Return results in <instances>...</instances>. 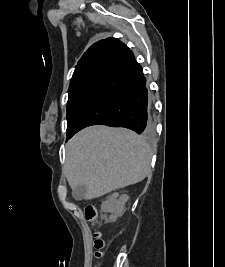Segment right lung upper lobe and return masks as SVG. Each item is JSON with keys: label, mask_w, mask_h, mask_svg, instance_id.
Wrapping results in <instances>:
<instances>
[{"label": "right lung upper lobe", "mask_w": 225, "mask_h": 267, "mask_svg": "<svg viewBox=\"0 0 225 267\" xmlns=\"http://www.w3.org/2000/svg\"><path fill=\"white\" fill-rule=\"evenodd\" d=\"M126 50L128 47L116 38H107L94 43L78 61L70 84L87 77L103 75Z\"/></svg>", "instance_id": "cb5924a9"}]
</instances>
